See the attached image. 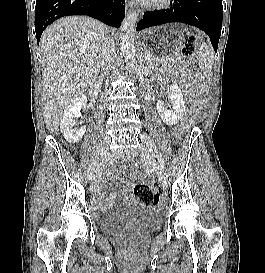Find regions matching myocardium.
Masks as SVG:
<instances>
[{
  "instance_id": "obj_1",
  "label": "myocardium",
  "mask_w": 265,
  "mask_h": 273,
  "mask_svg": "<svg viewBox=\"0 0 265 273\" xmlns=\"http://www.w3.org/2000/svg\"><path fill=\"white\" fill-rule=\"evenodd\" d=\"M173 0H149L147 6L152 9L162 10L168 8Z\"/></svg>"
}]
</instances>
